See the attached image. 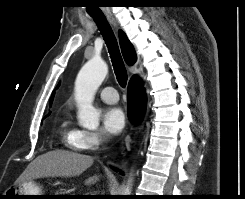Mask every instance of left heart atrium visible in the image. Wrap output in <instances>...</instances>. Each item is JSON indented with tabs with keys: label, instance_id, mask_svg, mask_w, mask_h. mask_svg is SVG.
Here are the masks:
<instances>
[{
	"label": "left heart atrium",
	"instance_id": "left-heart-atrium-1",
	"mask_svg": "<svg viewBox=\"0 0 245 199\" xmlns=\"http://www.w3.org/2000/svg\"><path fill=\"white\" fill-rule=\"evenodd\" d=\"M103 125L107 132L118 134L125 125V115L118 107H110L103 114Z\"/></svg>",
	"mask_w": 245,
	"mask_h": 199
}]
</instances>
